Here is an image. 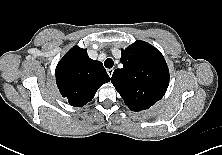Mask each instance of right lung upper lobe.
<instances>
[{
    "mask_svg": "<svg viewBox=\"0 0 222 155\" xmlns=\"http://www.w3.org/2000/svg\"><path fill=\"white\" fill-rule=\"evenodd\" d=\"M110 81L99 61L88 57L87 49L77 46L68 51L56 67V83L70 105L82 107L90 102L97 89Z\"/></svg>",
    "mask_w": 222,
    "mask_h": 155,
    "instance_id": "obj_1",
    "label": "right lung upper lobe"
}]
</instances>
